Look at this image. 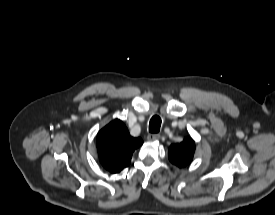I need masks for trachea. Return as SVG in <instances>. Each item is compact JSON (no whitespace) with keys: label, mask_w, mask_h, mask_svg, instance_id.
<instances>
[{"label":"trachea","mask_w":275,"mask_h":215,"mask_svg":"<svg viewBox=\"0 0 275 215\" xmlns=\"http://www.w3.org/2000/svg\"><path fill=\"white\" fill-rule=\"evenodd\" d=\"M161 126V118L157 115L153 116L149 122V132L158 133Z\"/></svg>","instance_id":"1"}]
</instances>
